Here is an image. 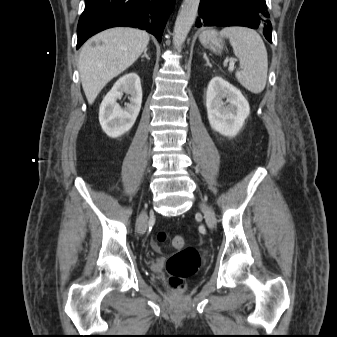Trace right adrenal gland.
Listing matches in <instances>:
<instances>
[{
	"mask_svg": "<svg viewBox=\"0 0 337 337\" xmlns=\"http://www.w3.org/2000/svg\"><path fill=\"white\" fill-rule=\"evenodd\" d=\"M146 57V59L150 60V57L147 55V49L144 50V54L142 55V58Z\"/></svg>",
	"mask_w": 337,
	"mask_h": 337,
	"instance_id": "right-adrenal-gland-1",
	"label": "right adrenal gland"
}]
</instances>
